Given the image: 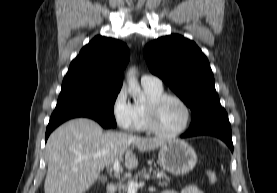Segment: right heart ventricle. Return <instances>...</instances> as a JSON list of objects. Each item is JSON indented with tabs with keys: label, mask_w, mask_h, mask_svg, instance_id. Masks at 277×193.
Returning a JSON list of instances; mask_svg holds the SVG:
<instances>
[{
	"label": "right heart ventricle",
	"mask_w": 277,
	"mask_h": 193,
	"mask_svg": "<svg viewBox=\"0 0 277 193\" xmlns=\"http://www.w3.org/2000/svg\"><path fill=\"white\" fill-rule=\"evenodd\" d=\"M144 89L150 99L163 93V89H153L147 87H144ZM134 111L136 115V130L147 131L148 125L146 117V104H135Z\"/></svg>",
	"instance_id": "e07e8e85"
}]
</instances>
